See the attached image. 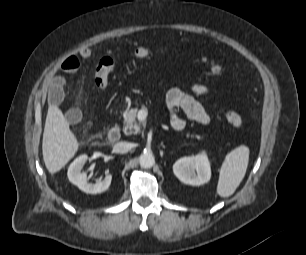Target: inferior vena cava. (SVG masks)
Returning <instances> with one entry per match:
<instances>
[{"mask_svg":"<svg viewBox=\"0 0 306 255\" xmlns=\"http://www.w3.org/2000/svg\"><path fill=\"white\" fill-rule=\"evenodd\" d=\"M133 145L129 142H118L113 146V150L116 153H127L132 149Z\"/></svg>","mask_w":306,"mask_h":255,"instance_id":"inferior-vena-cava-1","label":"inferior vena cava"}]
</instances>
